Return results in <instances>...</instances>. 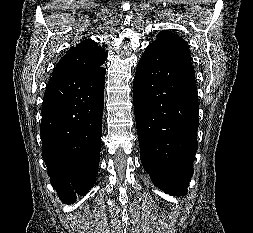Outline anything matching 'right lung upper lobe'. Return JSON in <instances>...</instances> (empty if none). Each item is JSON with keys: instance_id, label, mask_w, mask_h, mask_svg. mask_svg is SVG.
Masks as SVG:
<instances>
[{"instance_id": "right-lung-upper-lobe-1", "label": "right lung upper lobe", "mask_w": 253, "mask_h": 233, "mask_svg": "<svg viewBox=\"0 0 253 233\" xmlns=\"http://www.w3.org/2000/svg\"><path fill=\"white\" fill-rule=\"evenodd\" d=\"M107 55L97 42L86 39L71 47L56 65L53 75L94 71L103 67Z\"/></svg>"}]
</instances>
